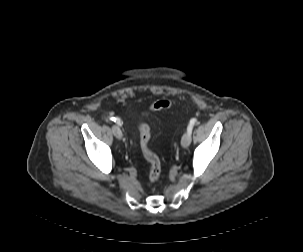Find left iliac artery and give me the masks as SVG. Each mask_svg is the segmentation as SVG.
Wrapping results in <instances>:
<instances>
[{
    "instance_id": "obj_1",
    "label": "left iliac artery",
    "mask_w": 303,
    "mask_h": 252,
    "mask_svg": "<svg viewBox=\"0 0 303 252\" xmlns=\"http://www.w3.org/2000/svg\"><path fill=\"white\" fill-rule=\"evenodd\" d=\"M196 122H197V119H195V118H192L190 120V123L188 125V131L192 132L193 126L195 125Z\"/></svg>"
}]
</instances>
